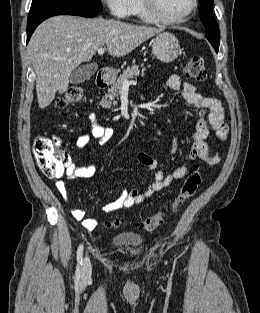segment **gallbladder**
Wrapping results in <instances>:
<instances>
[{
	"label": "gallbladder",
	"instance_id": "1",
	"mask_svg": "<svg viewBox=\"0 0 260 313\" xmlns=\"http://www.w3.org/2000/svg\"><path fill=\"white\" fill-rule=\"evenodd\" d=\"M96 65L90 66H82L74 70V72L70 76V83L72 84H80L91 78L92 75L96 72Z\"/></svg>",
	"mask_w": 260,
	"mask_h": 313
}]
</instances>
